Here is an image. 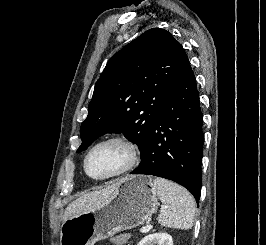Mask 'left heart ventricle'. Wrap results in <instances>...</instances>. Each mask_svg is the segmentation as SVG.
<instances>
[{
  "mask_svg": "<svg viewBox=\"0 0 266 245\" xmlns=\"http://www.w3.org/2000/svg\"><path fill=\"white\" fill-rule=\"evenodd\" d=\"M128 159V150L123 144L107 142L92 151L87 161V171L94 177H108L122 171Z\"/></svg>",
  "mask_w": 266,
  "mask_h": 245,
  "instance_id": "b2bd125f",
  "label": "left heart ventricle"
}]
</instances>
